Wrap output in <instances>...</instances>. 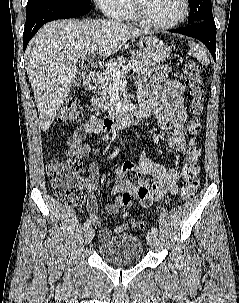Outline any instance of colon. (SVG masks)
Instances as JSON below:
<instances>
[{
	"mask_svg": "<svg viewBox=\"0 0 239 303\" xmlns=\"http://www.w3.org/2000/svg\"><path fill=\"white\" fill-rule=\"evenodd\" d=\"M183 77L187 87V100L190 113L188 133L190 145L186 152L182 166L183 184L180 190V198L183 201L190 200L199 187L198 158L200 149L197 144V136L201 130L200 116L204 109L205 87L201 67L196 61L188 60L185 63ZM81 118L80 111L75 99H68L61 109L58 121L61 123L75 124ZM82 163L75 157L66 159H51L47 162L46 171L51 183L53 193L62 201L80 205L84 203L86 193L85 186L80 177ZM121 203L125 210L132 205V196L125 192L121 196ZM132 227L145 229L143 222L130 221Z\"/></svg>",
	"mask_w": 239,
	"mask_h": 303,
	"instance_id": "obj_1",
	"label": "colon"
}]
</instances>
